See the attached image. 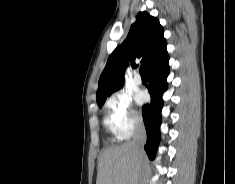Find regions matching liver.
<instances>
[{"mask_svg":"<svg viewBox=\"0 0 235 184\" xmlns=\"http://www.w3.org/2000/svg\"><path fill=\"white\" fill-rule=\"evenodd\" d=\"M143 154H135L131 142L104 150L98 164L97 184H135Z\"/></svg>","mask_w":235,"mask_h":184,"instance_id":"6515ba94","label":"liver"}]
</instances>
